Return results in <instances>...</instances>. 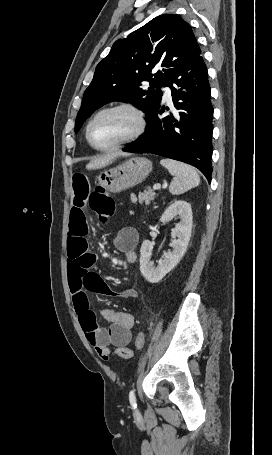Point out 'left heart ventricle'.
<instances>
[{
	"mask_svg": "<svg viewBox=\"0 0 272 455\" xmlns=\"http://www.w3.org/2000/svg\"><path fill=\"white\" fill-rule=\"evenodd\" d=\"M133 115L119 110L102 114L91 128V139L98 147H109L130 135L135 129Z\"/></svg>",
	"mask_w": 272,
	"mask_h": 455,
	"instance_id": "left-heart-ventricle-1",
	"label": "left heart ventricle"
}]
</instances>
